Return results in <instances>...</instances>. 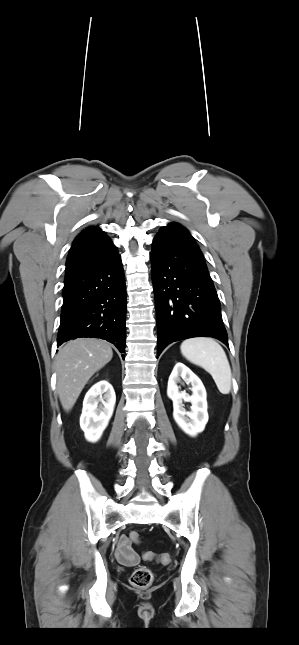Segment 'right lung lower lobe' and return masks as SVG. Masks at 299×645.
<instances>
[{"label":"right lung lower lobe","instance_id":"98d812e1","mask_svg":"<svg viewBox=\"0 0 299 645\" xmlns=\"http://www.w3.org/2000/svg\"><path fill=\"white\" fill-rule=\"evenodd\" d=\"M63 298L57 346L71 339L94 337L109 341L124 353L126 287L119 254L64 282Z\"/></svg>","mask_w":299,"mask_h":645}]
</instances>
